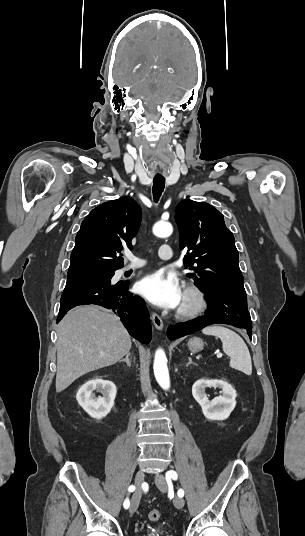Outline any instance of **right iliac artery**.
<instances>
[{
	"mask_svg": "<svg viewBox=\"0 0 305 536\" xmlns=\"http://www.w3.org/2000/svg\"><path fill=\"white\" fill-rule=\"evenodd\" d=\"M134 490H135V486H134V485L129 486V488H128V491H129V492H133ZM123 506H124L125 509H128V508H129V506H130V501H129L128 498L124 501Z\"/></svg>",
	"mask_w": 305,
	"mask_h": 536,
	"instance_id": "obj_1",
	"label": "right iliac artery"
}]
</instances>
